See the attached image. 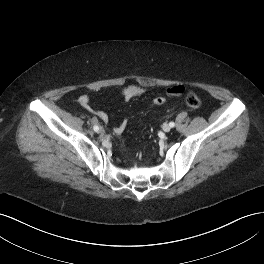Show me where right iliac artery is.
Returning <instances> with one entry per match:
<instances>
[{"mask_svg":"<svg viewBox=\"0 0 264 264\" xmlns=\"http://www.w3.org/2000/svg\"><path fill=\"white\" fill-rule=\"evenodd\" d=\"M93 129H94L95 132L99 131V127L97 125H94Z\"/></svg>","mask_w":264,"mask_h":264,"instance_id":"obj_1","label":"right iliac artery"}]
</instances>
